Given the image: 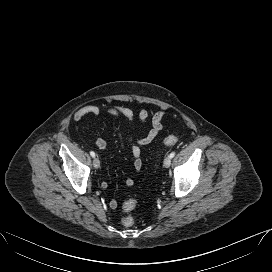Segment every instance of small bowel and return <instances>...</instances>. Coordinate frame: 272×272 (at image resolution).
Instances as JSON below:
<instances>
[{
  "mask_svg": "<svg viewBox=\"0 0 272 272\" xmlns=\"http://www.w3.org/2000/svg\"><path fill=\"white\" fill-rule=\"evenodd\" d=\"M101 110L97 106L89 105L78 109L73 118L75 121H79L83 118L90 117L96 118L100 115ZM106 114L112 117H122L127 119L130 122H134L138 120L142 124H146L149 119L151 120V128L142 137L134 138L132 135L128 138V145L131 149L133 155V166L135 171L139 172L142 168V158H141V147L151 144L157 136L162 132L165 127V113L161 110H157L153 113L150 118L149 111L145 108H141L138 112H134L132 109L122 106V105H115L106 110ZM117 137L121 143V146L124 147V137L121 132H117ZM95 146L100 150L107 149V142L102 138H97L95 140ZM125 184L127 186H132L134 184V179L128 177L125 180ZM107 183H102V188H106ZM109 206L112 209L117 208L118 202L115 199H112L109 202Z\"/></svg>",
  "mask_w": 272,
  "mask_h": 272,
  "instance_id": "c3829d8e",
  "label": "small bowel"
}]
</instances>
